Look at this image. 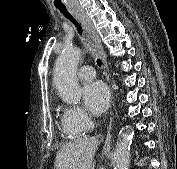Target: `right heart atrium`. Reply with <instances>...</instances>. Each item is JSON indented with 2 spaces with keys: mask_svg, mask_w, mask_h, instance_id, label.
Masks as SVG:
<instances>
[{
  "mask_svg": "<svg viewBox=\"0 0 177 169\" xmlns=\"http://www.w3.org/2000/svg\"><path fill=\"white\" fill-rule=\"evenodd\" d=\"M63 117L69 128L85 130L93 124L91 117L82 108L75 105L67 106L64 109Z\"/></svg>",
  "mask_w": 177,
  "mask_h": 169,
  "instance_id": "1",
  "label": "right heart atrium"
}]
</instances>
